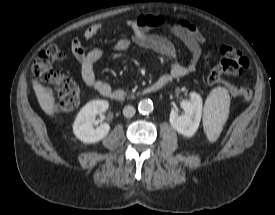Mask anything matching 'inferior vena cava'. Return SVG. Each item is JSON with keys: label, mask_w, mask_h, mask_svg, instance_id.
I'll list each match as a JSON object with an SVG mask.
<instances>
[{"label": "inferior vena cava", "mask_w": 275, "mask_h": 215, "mask_svg": "<svg viewBox=\"0 0 275 215\" xmlns=\"http://www.w3.org/2000/svg\"><path fill=\"white\" fill-rule=\"evenodd\" d=\"M135 108L133 106H125L124 109H123V115L127 118H131L135 115Z\"/></svg>", "instance_id": "obj_1"}]
</instances>
